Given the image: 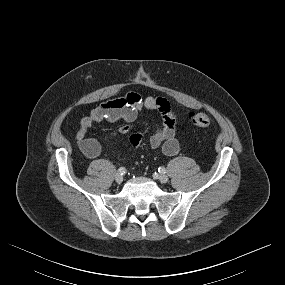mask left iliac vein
Listing matches in <instances>:
<instances>
[{"mask_svg": "<svg viewBox=\"0 0 285 285\" xmlns=\"http://www.w3.org/2000/svg\"><path fill=\"white\" fill-rule=\"evenodd\" d=\"M156 178L162 183H166L168 181V176L164 173L157 174Z\"/></svg>", "mask_w": 285, "mask_h": 285, "instance_id": "left-iliac-vein-1", "label": "left iliac vein"}]
</instances>
